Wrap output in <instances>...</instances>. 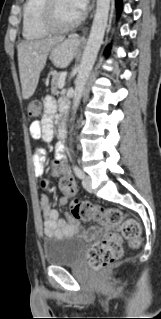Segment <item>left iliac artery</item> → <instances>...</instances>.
Instances as JSON below:
<instances>
[{"label":"left iliac artery","mask_w":161,"mask_h":319,"mask_svg":"<svg viewBox=\"0 0 161 319\" xmlns=\"http://www.w3.org/2000/svg\"><path fill=\"white\" fill-rule=\"evenodd\" d=\"M73 170H74L75 175H76L78 178L83 179V178L85 177L83 171H82L77 165H75V166L73 167Z\"/></svg>","instance_id":"obj_1"}]
</instances>
